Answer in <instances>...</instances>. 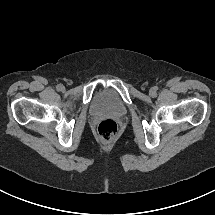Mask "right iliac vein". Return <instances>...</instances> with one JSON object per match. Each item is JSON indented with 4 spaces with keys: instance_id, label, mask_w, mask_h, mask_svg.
<instances>
[{
    "instance_id": "63e3f726",
    "label": "right iliac vein",
    "mask_w": 215,
    "mask_h": 215,
    "mask_svg": "<svg viewBox=\"0 0 215 215\" xmlns=\"http://www.w3.org/2000/svg\"><path fill=\"white\" fill-rule=\"evenodd\" d=\"M65 89V87L62 85L60 91H63Z\"/></svg>"
}]
</instances>
